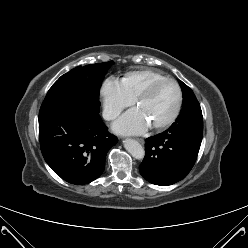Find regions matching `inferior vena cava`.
Returning a JSON list of instances; mask_svg holds the SVG:
<instances>
[{"instance_id": "obj_1", "label": "inferior vena cava", "mask_w": 248, "mask_h": 248, "mask_svg": "<svg viewBox=\"0 0 248 248\" xmlns=\"http://www.w3.org/2000/svg\"><path fill=\"white\" fill-rule=\"evenodd\" d=\"M119 114H120L119 110L112 108H105L102 113L103 118L108 121L115 119Z\"/></svg>"}]
</instances>
